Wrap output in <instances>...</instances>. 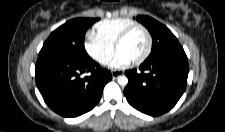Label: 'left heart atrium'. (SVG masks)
Segmentation results:
<instances>
[{"label": "left heart atrium", "instance_id": "39dd6f15", "mask_svg": "<svg viewBox=\"0 0 225 132\" xmlns=\"http://www.w3.org/2000/svg\"><path fill=\"white\" fill-rule=\"evenodd\" d=\"M131 61L123 53L117 52L110 66L115 69H119L128 65Z\"/></svg>", "mask_w": 225, "mask_h": 132}]
</instances>
